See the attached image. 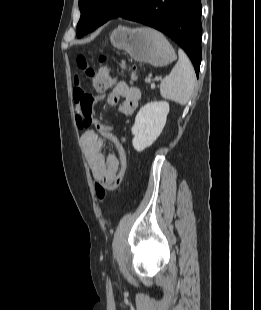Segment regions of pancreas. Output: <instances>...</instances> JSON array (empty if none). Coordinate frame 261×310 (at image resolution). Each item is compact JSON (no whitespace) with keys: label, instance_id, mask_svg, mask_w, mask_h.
Returning <instances> with one entry per match:
<instances>
[{"label":"pancreas","instance_id":"cf45deb5","mask_svg":"<svg viewBox=\"0 0 261 310\" xmlns=\"http://www.w3.org/2000/svg\"><path fill=\"white\" fill-rule=\"evenodd\" d=\"M145 81L148 82V83L151 82V77L150 76L146 77Z\"/></svg>","mask_w":261,"mask_h":310}]
</instances>
